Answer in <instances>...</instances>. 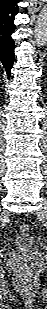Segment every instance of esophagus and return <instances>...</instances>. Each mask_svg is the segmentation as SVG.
Returning a JSON list of instances; mask_svg holds the SVG:
<instances>
[{
	"mask_svg": "<svg viewBox=\"0 0 47 309\" xmlns=\"http://www.w3.org/2000/svg\"><path fill=\"white\" fill-rule=\"evenodd\" d=\"M41 2L39 0H30V9L33 12L39 11L41 8Z\"/></svg>",
	"mask_w": 47,
	"mask_h": 309,
	"instance_id": "34e87169",
	"label": "esophagus"
}]
</instances>
